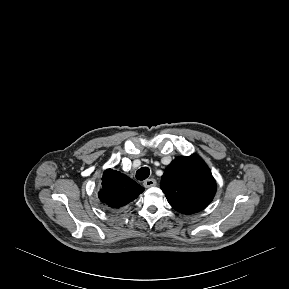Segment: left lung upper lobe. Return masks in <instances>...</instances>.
I'll return each mask as SVG.
<instances>
[{"mask_svg": "<svg viewBox=\"0 0 289 289\" xmlns=\"http://www.w3.org/2000/svg\"><path fill=\"white\" fill-rule=\"evenodd\" d=\"M161 189L170 205L182 214L207 207L216 193V182L205 162L197 155L175 158L165 169Z\"/></svg>", "mask_w": 289, "mask_h": 289, "instance_id": "5c2ea615", "label": "left lung upper lobe"}]
</instances>
